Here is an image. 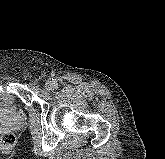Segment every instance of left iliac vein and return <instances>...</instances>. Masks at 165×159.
Instances as JSON below:
<instances>
[{
    "mask_svg": "<svg viewBox=\"0 0 165 159\" xmlns=\"http://www.w3.org/2000/svg\"><path fill=\"white\" fill-rule=\"evenodd\" d=\"M46 90L50 91L54 88V83L52 82H47L45 85Z\"/></svg>",
    "mask_w": 165,
    "mask_h": 159,
    "instance_id": "obj_1",
    "label": "left iliac vein"
}]
</instances>
